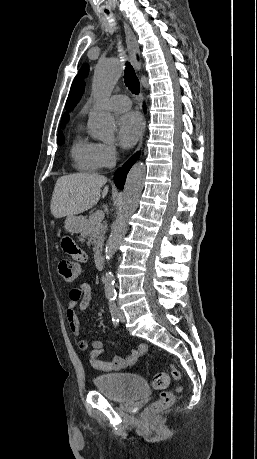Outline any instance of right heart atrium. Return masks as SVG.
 Listing matches in <instances>:
<instances>
[{
	"label": "right heart atrium",
	"instance_id": "d8ad5b80",
	"mask_svg": "<svg viewBox=\"0 0 257 459\" xmlns=\"http://www.w3.org/2000/svg\"><path fill=\"white\" fill-rule=\"evenodd\" d=\"M117 155L118 151L113 143H97V158L101 167H111Z\"/></svg>",
	"mask_w": 257,
	"mask_h": 459
}]
</instances>
